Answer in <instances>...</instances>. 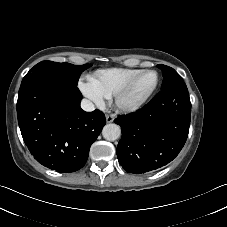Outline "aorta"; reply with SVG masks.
Here are the masks:
<instances>
[{
    "label": "aorta",
    "mask_w": 227,
    "mask_h": 227,
    "mask_svg": "<svg viewBox=\"0 0 227 227\" xmlns=\"http://www.w3.org/2000/svg\"><path fill=\"white\" fill-rule=\"evenodd\" d=\"M102 135L108 141H115L120 137L121 129L117 124H107L102 130Z\"/></svg>",
    "instance_id": "1"
}]
</instances>
